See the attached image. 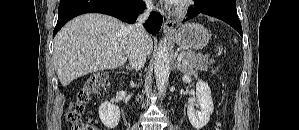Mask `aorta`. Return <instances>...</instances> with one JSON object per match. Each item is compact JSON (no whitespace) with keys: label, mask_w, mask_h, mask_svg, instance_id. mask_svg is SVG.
I'll use <instances>...</instances> for the list:
<instances>
[{"label":"aorta","mask_w":299,"mask_h":130,"mask_svg":"<svg viewBox=\"0 0 299 130\" xmlns=\"http://www.w3.org/2000/svg\"><path fill=\"white\" fill-rule=\"evenodd\" d=\"M170 72V54L165 42L160 43L154 61L156 86L160 94L166 92Z\"/></svg>","instance_id":"aorta-1"}]
</instances>
